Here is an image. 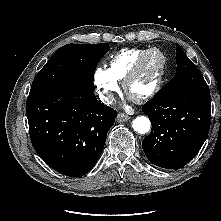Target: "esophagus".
<instances>
[{"label": "esophagus", "mask_w": 221, "mask_h": 221, "mask_svg": "<svg viewBox=\"0 0 221 221\" xmlns=\"http://www.w3.org/2000/svg\"><path fill=\"white\" fill-rule=\"evenodd\" d=\"M129 119H130V116H128V115H126L124 113H119L117 115L116 121L120 123V122H125V121H127Z\"/></svg>", "instance_id": "1"}]
</instances>
